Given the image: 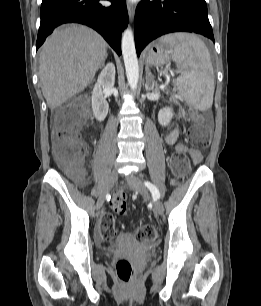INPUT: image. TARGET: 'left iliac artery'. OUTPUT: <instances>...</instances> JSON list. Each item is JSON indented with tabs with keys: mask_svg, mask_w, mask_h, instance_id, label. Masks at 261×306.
<instances>
[{
	"mask_svg": "<svg viewBox=\"0 0 261 306\" xmlns=\"http://www.w3.org/2000/svg\"><path fill=\"white\" fill-rule=\"evenodd\" d=\"M144 185L150 190V192H151V194L154 198H156V199L160 198V192L154 184H152L149 181H145Z\"/></svg>",
	"mask_w": 261,
	"mask_h": 306,
	"instance_id": "obj_1",
	"label": "left iliac artery"
}]
</instances>
